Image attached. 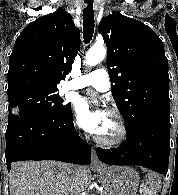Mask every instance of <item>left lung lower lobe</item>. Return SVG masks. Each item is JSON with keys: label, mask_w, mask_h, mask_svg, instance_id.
<instances>
[{"label": "left lung lower lobe", "mask_w": 178, "mask_h": 195, "mask_svg": "<svg viewBox=\"0 0 178 195\" xmlns=\"http://www.w3.org/2000/svg\"><path fill=\"white\" fill-rule=\"evenodd\" d=\"M101 162L112 165H140L167 174L170 155V124L143 122L130 131L126 141L110 150L97 148Z\"/></svg>", "instance_id": "obj_1"}]
</instances>
